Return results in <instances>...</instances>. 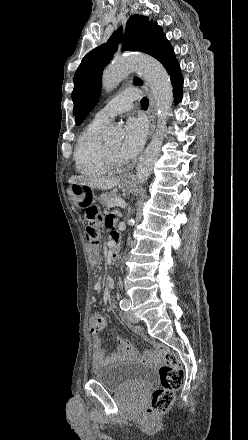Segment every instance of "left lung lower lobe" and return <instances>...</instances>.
Returning a JSON list of instances; mask_svg holds the SVG:
<instances>
[{"mask_svg":"<svg viewBox=\"0 0 248 440\" xmlns=\"http://www.w3.org/2000/svg\"><path fill=\"white\" fill-rule=\"evenodd\" d=\"M171 82L173 86V94L175 97V102H180L182 98V87H183V79L181 73H177L171 76Z\"/></svg>","mask_w":248,"mask_h":440,"instance_id":"1","label":"left lung lower lobe"}]
</instances>
